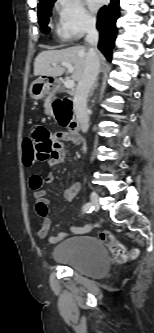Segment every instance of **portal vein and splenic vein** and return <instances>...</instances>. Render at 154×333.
<instances>
[{"mask_svg": "<svg viewBox=\"0 0 154 333\" xmlns=\"http://www.w3.org/2000/svg\"><path fill=\"white\" fill-rule=\"evenodd\" d=\"M53 66H56L55 63L52 64ZM61 66L63 67H66L68 69V72L69 73H72L74 71V67L72 66V64L70 63H67V62H62L61 63ZM64 86L67 88V89H72L74 86H75V81L72 80V79H67L65 82H64Z\"/></svg>", "mask_w": 154, "mask_h": 333, "instance_id": "obj_1", "label": "portal vein and splenic vein"}]
</instances>
